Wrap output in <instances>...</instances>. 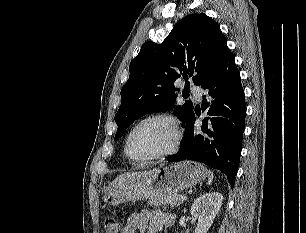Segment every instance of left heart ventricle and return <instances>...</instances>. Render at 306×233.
Wrapping results in <instances>:
<instances>
[{"label": "left heart ventricle", "mask_w": 306, "mask_h": 233, "mask_svg": "<svg viewBox=\"0 0 306 233\" xmlns=\"http://www.w3.org/2000/svg\"><path fill=\"white\" fill-rule=\"evenodd\" d=\"M175 133L170 123L154 120L143 124L130 140V152L136 158L162 153L174 143Z\"/></svg>", "instance_id": "1"}]
</instances>
